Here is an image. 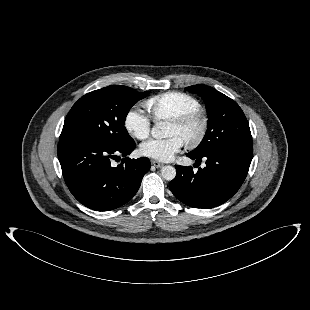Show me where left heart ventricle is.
Wrapping results in <instances>:
<instances>
[{
  "label": "left heart ventricle",
  "instance_id": "b2bd125f",
  "mask_svg": "<svg viewBox=\"0 0 310 310\" xmlns=\"http://www.w3.org/2000/svg\"><path fill=\"white\" fill-rule=\"evenodd\" d=\"M200 125L198 122H194L187 127H178L172 123H169L167 135L178 136L183 142L193 139L199 132Z\"/></svg>",
  "mask_w": 310,
  "mask_h": 310
}]
</instances>
